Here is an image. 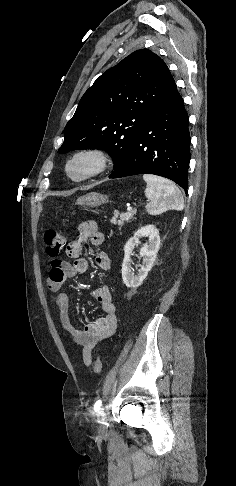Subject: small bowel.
Returning a JSON list of instances; mask_svg holds the SVG:
<instances>
[{"mask_svg": "<svg viewBox=\"0 0 236 486\" xmlns=\"http://www.w3.org/2000/svg\"><path fill=\"white\" fill-rule=\"evenodd\" d=\"M105 241V236L99 232L94 221H85L79 224L76 238L66 247V255L74 259L72 263L55 259L51 262V270L47 278L49 290L58 292L55 304L59 319L64 330L82 347V358L85 365L92 363V350L103 339L110 337L117 327L116 307L113 303L110 289L107 285L100 286L91 292V296L100 303L105 315L84 325L82 328L74 326L69 316V296L60 292L68 278L85 273L88 269L87 260L81 258L86 242L99 246ZM95 263L102 271L110 268V258L105 252L95 256Z\"/></svg>", "mask_w": 236, "mask_h": 486, "instance_id": "1", "label": "small bowel"}]
</instances>
